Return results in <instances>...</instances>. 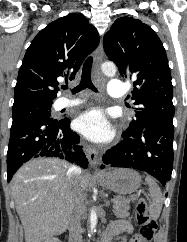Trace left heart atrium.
Masks as SVG:
<instances>
[{"label": "left heart atrium", "mask_w": 187, "mask_h": 242, "mask_svg": "<svg viewBox=\"0 0 187 242\" xmlns=\"http://www.w3.org/2000/svg\"><path fill=\"white\" fill-rule=\"evenodd\" d=\"M75 125L80 133L95 142L107 141L113 134L106 115L98 108L85 111L79 115Z\"/></svg>", "instance_id": "left-heart-atrium-1"}]
</instances>
